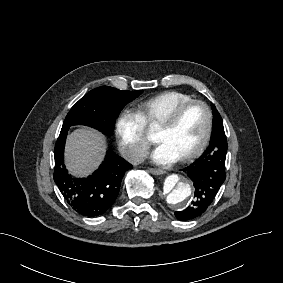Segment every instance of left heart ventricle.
I'll list each match as a JSON object with an SVG mask.
<instances>
[{
	"mask_svg": "<svg viewBox=\"0 0 283 283\" xmlns=\"http://www.w3.org/2000/svg\"><path fill=\"white\" fill-rule=\"evenodd\" d=\"M206 129V114L197 104L191 105L169 130L156 127L154 140L167 144L178 157L195 149L203 139Z\"/></svg>",
	"mask_w": 283,
	"mask_h": 283,
	"instance_id": "1",
	"label": "left heart ventricle"
}]
</instances>
